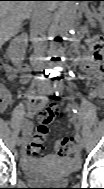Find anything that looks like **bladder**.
I'll return each mask as SVG.
<instances>
[{
  "label": "bladder",
  "mask_w": 104,
  "mask_h": 189,
  "mask_svg": "<svg viewBox=\"0 0 104 189\" xmlns=\"http://www.w3.org/2000/svg\"><path fill=\"white\" fill-rule=\"evenodd\" d=\"M79 169V165L61 156H47L29 169L23 170L26 179L36 185H65L71 175Z\"/></svg>",
  "instance_id": "1"
}]
</instances>
